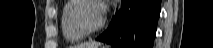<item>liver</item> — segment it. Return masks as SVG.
Returning <instances> with one entry per match:
<instances>
[{
	"label": "liver",
	"instance_id": "obj_1",
	"mask_svg": "<svg viewBox=\"0 0 213 48\" xmlns=\"http://www.w3.org/2000/svg\"><path fill=\"white\" fill-rule=\"evenodd\" d=\"M98 43H95V42H88V43H83V44H80V45H76L72 48H98Z\"/></svg>",
	"mask_w": 213,
	"mask_h": 48
}]
</instances>
